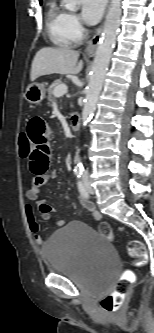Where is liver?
Listing matches in <instances>:
<instances>
[{"label": "liver", "mask_w": 154, "mask_h": 333, "mask_svg": "<svg viewBox=\"0 0 154 333\" xmlns=\"http://www.w3.org/2000/svg\"><path fill=\"white\" fill-rule=\"evenodd\" d=\"M79 52L68 47H44L40 49L32 62L30 79L51 74H78L83 62H78Z\"/></svg>", "instance_id": "obj_1"}]
</instances>
